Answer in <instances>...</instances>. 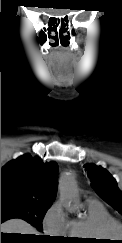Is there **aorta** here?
Returning a JSON list of instances; mask_svg holds the SVG:
<instances>
[{"label": "aorta", "instance_id": "obj_1", "mask_svg": "<svg viewBox=\"0 0 122 243\" xmlns=\"http://www.w3.org/2000/svg\"><path fill=\"white\" fill-rule=\"evenodd\" d=\"M60 197L70 212H75L78 207L79 199L74 177L69 173H64L59 179Z\"/></svg>", "mask_w": 122, "mask_h": 243}]
</instances>
